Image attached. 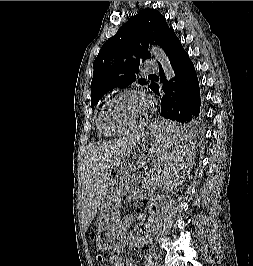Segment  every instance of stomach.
Listing matches in <instances>:
<instances>
[{
    "mask_svg": "<svg viewBox=\"0 0 253 266\" xmlns=\"http://www.w3.org/2000/svg\"><path fill=\"white\" fill-rule=\"evenodd\" d=\"M161 138H169L165 132H158L156 128L152 133L151 143L144 138L137 139L129 149L120 156L109 171L106 187V201L100 217L97 234V249L106 251L115 245L116 229L120 221V198L125 179L137 168L155 160V151L159 150Z\"/></svg>",
    "mask_w": 253,
    "mask_h": 266,
    "instance_id": "obj_1",
    "label": "stomach"
}]
</instances>
